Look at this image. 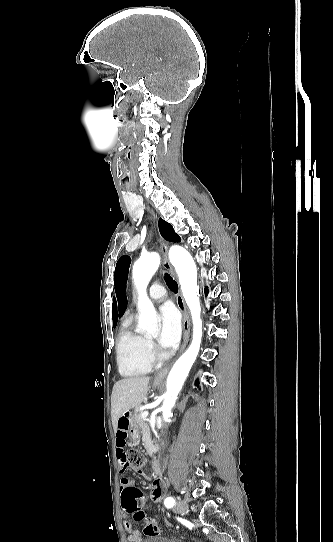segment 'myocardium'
I'll return each mask as SVG.
<instances>
[{"label": "myocardium", "instance_id": "1", "mask_svg": "<svg viewBox=\"0 0 333 542\" xmlns=\"http://www.w3.org/2000/svg\"><path fill=\"white\" fill-rule=\"evenodd\" d=\"M148 355L152 361L162 363L171 358V354H163L159 351L155 342L151 339H147Z\"/></svg>", "mask_w": 333, "mask_h": 542}]
</instances>
